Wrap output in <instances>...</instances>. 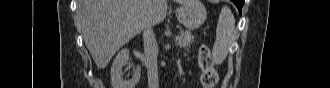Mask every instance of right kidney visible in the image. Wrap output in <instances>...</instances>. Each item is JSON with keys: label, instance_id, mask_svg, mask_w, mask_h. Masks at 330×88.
Wrapping results in <instances>:
<instances>
[{"label": "right kidney", "instance_id": "ca27d5eb", "mask_svg": "<svg viewBox=\"0 0 330 88\" xmlns=\"http://www.w3.org/2000/svg\"><path fill=\"white\" fill-rule=\"evenodd\" d=\"M129 60V50L127 48L122 49L116 55L112 67H111V84L113 88H134L140 80L141 69L134 70V74L131 79L123 80V66L127 64Z\"/></svg>", "mask_w": 330, "mask_h": 88}]
</instances>
